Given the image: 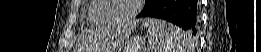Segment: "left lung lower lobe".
<instances>
[{"instance_id": "0a47b994", "label": "left lung lower lobe", "mask_w": 261, "mask_h": 52, "mask_svg": "<svg viewBox=\"0 0 261 52\" xmlns=\"http://www.w3.org/2000/svg\"><path fill=\"white\" fill-rule=\"evenodd\" d=\"M137 17L161 18L182 28L190 35H196L199 25V4L198 0H153Z\"/></svg>"}]
</instances>
